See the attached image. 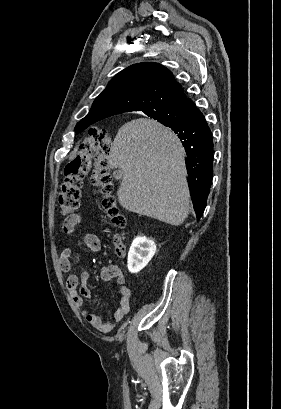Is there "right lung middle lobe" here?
<instances>
[{"label":"right lung middle lobe","mask_w":281,"mask_h":409,"mask_svg":"<svg viewBox=\"0 0 281 409\" xmlns=\"http://www.w3.org/2000/svg\"><path fill=\"white\" fill-rule=\"evenodd\" d=\"M155 120H158V122H160L161 124L165 126H169L173 124L174 122H176L177 118H175L174 116H165V117L156 118ZM75 131L76 133L80 132V130H77V129H75Z\"/></svg>","instance_id":"dd1d6c3e"}]
</instances>
